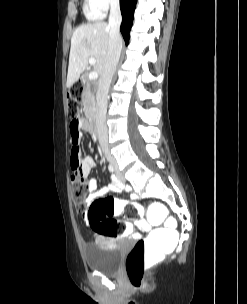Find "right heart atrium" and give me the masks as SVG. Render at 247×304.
Here are the masks:
<instances>
[{
    "mask_svg": "<svg viewBox=\"0 0 247 304\" xmlns=\"http://www.w3.org/2000/svg\"><path fill=\"white\" fill-rule=\"evenodd\" d=\"M96 7L102 12L105 13L112 7L116 6L119 3V0H93Z\"/></svg>",
    "mask_w": 247,
    "mask_h": 304,
    "instance_id": "obj_1",
    "label": "right heart atrium"
}]
</instances>
